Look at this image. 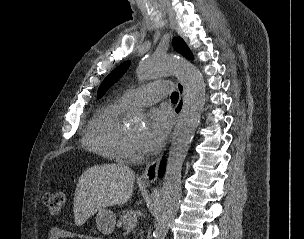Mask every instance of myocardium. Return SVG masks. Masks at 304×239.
Wrapping results in <instances>:
<instances>
[{
	"label": "myocardium",
	"mask_w": 304,
	"mask_h": 239,
	"mask_svg": "<svg viewBox=\"0 0 304 239\" xmlns=\"http://www.w3.org/2000/svg\"><path fill=\"white\" fill-rule=\"evenodd\" d=\"M122 153L124 157L131 160L139 159L141 157L137 146L126 130L122 139Z\"/></svg>",
	"instance_id": "1"
}]
</instances>
